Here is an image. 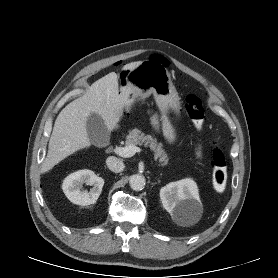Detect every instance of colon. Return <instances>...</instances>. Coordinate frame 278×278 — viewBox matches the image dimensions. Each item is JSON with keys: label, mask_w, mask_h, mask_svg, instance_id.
<instances>
[{"label": "colon", "mask_w": 278, "mask_h": 278, "mask_svg": "<svg viewBox=\"0 0 278 278\" xmlns=\"http://www.w3.org/2000/svg\"><path fill=\"white\" fill-rule=\"evenodd\" d=\"M186 112L194 127L201 130L204 125L205 109L202 100L195 94L186 97ZM200 154V147L197 149ZM212 184L217 192H223L227 183V164L223 150L214 146L211 152Z\"/></svg>", "instance_id": "colon-1"}]
</instances>
